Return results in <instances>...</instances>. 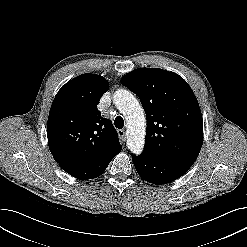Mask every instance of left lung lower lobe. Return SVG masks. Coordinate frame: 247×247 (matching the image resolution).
<instances>
[{"label": "left lung lower lobe", "mask_w": 247, "mask_h": 247, "mask_svg": "<svg viewBox=\"0 0 247 247\" xmlns=\"http://www.w3.org/2000/svg\"><path fill=\"white\" fill-rule=\"evenodd\" d=\"M132 160L138 174L157 185L178 179L192 166L188 162L166 160L145 152L140 156L132 155Z\"/></svg>", "instance_id": "0a47b994"}]
</instances>
